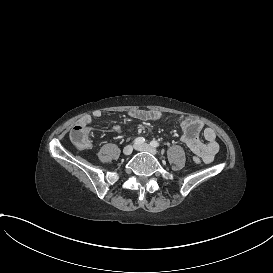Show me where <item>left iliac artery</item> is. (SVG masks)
Instances as JSON below:
<instances>
[{
  "label": "left iliac artery",
  "mask_w": 273,
  "mask_h": 273,
  "mask_svg": "<svg viewBox=\"0 0 273 273\" xmlns=\"http://www.w3.org/2000/svg\"><path fill=\"white\" fill-rule=\"evenodd\" d=\"M150 145L152 147H159L160 146L159 143L157 141H155V140L151 141Z\"/></svg>",
  "instance_id": "1"
}]
</instances>
